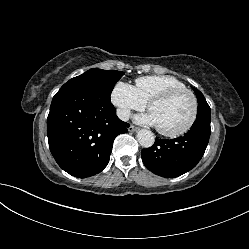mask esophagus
<instances>
[{
	"label": "esophagus",
	"mask_w": 249,
	"mask_h": 249,
	"mask_svg": "<svg viewBox=\"0 0 249 249\" xmlns=\"http://www.w3.org/2000/svg\"><path fill=\"white\" fill-rule=\"evenodd\" d=\"M128 130H129L130 132H135V131L138 130V128L135 127V126H133V125H130V127L128 128Z\"/></svg>",
	"instance_id": "esophagus-1"
}]
</instances>
